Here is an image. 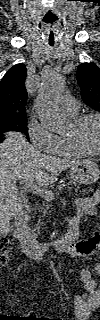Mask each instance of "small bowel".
<instances>
[{
  "instance_id": "c3829d8e",
  "label": "small bowel",
  "mask_w": 100,
  "mask_h": 320,
  "mask_svg": "<svg viewBox=\"0 0 100 320\" xmlns=\"http://www.w3.org/2000/svg\"><path fill=\"white\" fill-rule=\"evenodd\" d=\"M99 200V194L91 197H81L76 199L78 215L90 214ZM84 242L77 246L79 252H84ZM95 270L100 273V263L96 265ZM79 282L82 286V292L73 298L74 315L78 320H87L91 312L100 305V287L98 281L94 278L90 269H83L79 275Z\"/></svg>"
}]
</instances>
